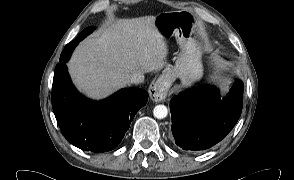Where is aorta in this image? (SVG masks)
I'll return each instance as SVG.
<instances>
[{
  "label": "aorta",
  "instance_id": "aorta-1",
  "mask_svg": "<svg viewBox=\"0 0 294 180\" xmlns=\"http://www.w3.org/2000/svg\"><path fill=\"white\" fill-rule=\"evenodd\" d=\"M168 109L165 105H157L154 107L153 115L158 119H163L167 116Z\"/></svg>",
  "mask_w": 294,
  "mask_h": 180
}]
</instances>
